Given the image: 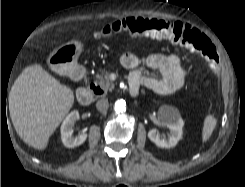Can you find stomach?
<instances>
[{"mask_svg": "<svg viewBox=\"0 0 245 187\" xmlns=\"http://www.w3.org/2000/svg\"><path fill=\"white\" fill-rule=\"evenodd\" d=\"M83 50V44L79 41H70L54 50L47 59L51 70L58 74H67L77 65V60Z\"/></svg>", "mask_w": 245, "mask_h": 187, "instance_id": "0dacf381", "label": "stomach"}]
</instances>
